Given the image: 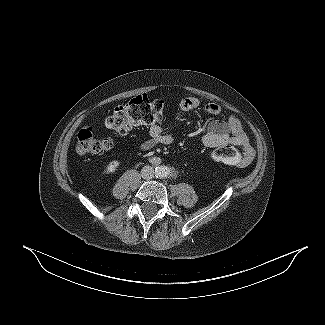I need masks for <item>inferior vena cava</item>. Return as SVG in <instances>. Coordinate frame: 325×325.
Wrapping results in <instances>:
<instances>
[{
  "label": "inferior vena cava",
  "mask_w": 325,
  "mask_h": 325,
  "mask_svg": "<svg viewBox=\"0 0 325 325\" xmlns=\"http://www.w3.org/2000/svg\"><path fill=\"white\" fill-rule=\"evenodd\" d=\"M154 169L151 166H144L141 170V176L145 180H150L154 177Z\"/></svg>",
  "instance_id": "1"
}]
</instances>
